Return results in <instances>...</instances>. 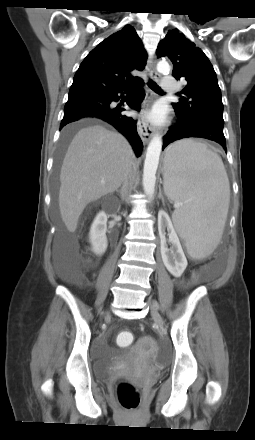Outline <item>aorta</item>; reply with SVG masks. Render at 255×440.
Instances as JSON below:
<instances>
[{
  "instance_id": "aorta-1",
  "label": "aorta",
  "mask_w": 255,
  "mask_h": 440,
  "mask_svg": "<svg viewBox=\"0 0 255 440\" xmlns=\"http://www.w3.org/2000/svg\"><path fill=\"white\" fill-rule=\"evenodd\" d=\"M157 70L161 73H168L170 71V66L166 61H160L157 65ZM161 149L162 138L159 135H155L147 147L143 169V188L145 194L148 195L150 199L154 197L156 171L159 164Z\"/></svg>"
}]
</instances>
